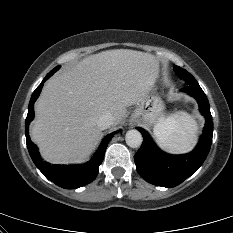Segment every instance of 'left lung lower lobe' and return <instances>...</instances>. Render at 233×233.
I'll return each instance as SVG.
<instances>
[{
	"label": "left lung lower lobe",
	"instance_id": "obj_1",
	"mask_svg": "<svg viewBox=\"0 0 233 233\" xmlns=\"http://www.w3.org/2000/svg\"><path fill=\"white\" fill-rule=\"evenodd\" d=\"M193 96L202 115L206 118L203 136L197 147L184 155H169L158 149L150 135L142 128H137L143 135L141 148L135 154V164L138 173L147 182L172 188L191 176L206 159L213 135V121L208 99L199 85H188L182 88Z\"/></svg>",
	"mask_w": 233,
	"mask_h": 233
}]
</instances>
